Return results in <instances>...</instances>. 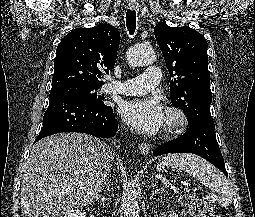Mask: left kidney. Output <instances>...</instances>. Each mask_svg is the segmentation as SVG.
<instances>
[{"mask_svg": "<svg viewBox=\"0 0 255 217\" xmlns=\"http://www.w3.org/2000/svg\"><path fill=\"white\" fill-rule=\"evenodd\" d=\"M168 217H179V216L175 213H170V215Z\"/></svg>", "mask_w": 255, "mask_h": 217, "instance_id": "1", "label": "left kidney"}]
</instances>
